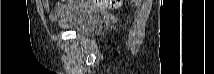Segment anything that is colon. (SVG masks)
Wrapping results in <instances>:
<instances>
[{
  "mask_svg": "<svg viewBox=\"0 0 214 74\" xmlns=\"http://www.w3.org/2000/svg\"><path fill=\"white\" fill-rule=\"evenodd\" d=\"M72 2V1H69ZM86 3L98 9H117L123 4L122 0H90Z\"/></svg>",
  "mask_w": 214,
  "mask_h": 74,
  "instance_id": "obj_1",
  "label": "colon"
}]
</instances>
